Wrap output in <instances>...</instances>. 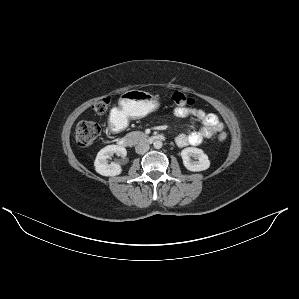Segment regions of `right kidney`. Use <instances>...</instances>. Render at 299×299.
I'll return each mask as SVG.
<instances>
[{"label": "right kidney", "instance_id": "1", "mask_svg": "<svg viewBox=\"0 0 299 299\" xmlns=\"http://www.w3.org/2000/svg\"><path fill=\"white\" fill-rule=\"evenodd\" d=\"M114 153L125 157L127 152L126 149L118 145H108L101 149L95 159L94 166L97 173L103 176H116L121 174L122 168L119 164L107 162Z\"/></svg>", "mask_w": 299, "mask_h": 299}]
</instances>
